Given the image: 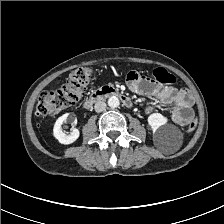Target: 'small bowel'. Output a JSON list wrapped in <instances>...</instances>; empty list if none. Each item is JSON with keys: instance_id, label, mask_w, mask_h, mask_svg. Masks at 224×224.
<instances>
[{"instance_id": "1", "label": "small bowel", "mask_w": 224, "mask_h": 224, "mask_svg": "<svg viewBox=\"0 0 224 224\" xmlns=\"http://www.w3.org/2000/svg\"><path fill=\"white\" fill-rule=\"evenodd\" d=\"M127 84L133 92L149 98H155L160 105H173L169 113L175 124L185 126L190 122L192 118L190 106L193 104L194 96L189 90L160 86L135 71L128 73ZM154 110L155 105L147 107V112Z\"/></svg>"}]
</instances>
